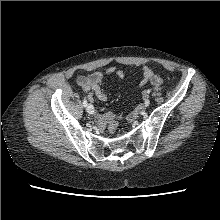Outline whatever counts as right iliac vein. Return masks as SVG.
Here are the masks:
<instances>
[{"mask_svg":"<svg viewBox=\"0 0 220 220\" xmlns=\"http://www.w3.org/2000/svg\"><path fill=\"white\" fill-rule=\"evenodd\" d=\"M87 112H88L89 114H93V113H94V107H93V105L89 104V105L87 106Z\"/></svg>","mask_w":220,"mask_h":220,"instance_id":"63e3f726","label":"right iliac vein"}]
</instances>
